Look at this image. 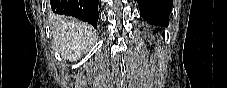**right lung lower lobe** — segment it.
<instances>
[{"label":"right lung lower lobe","mask_w":227,"mask_h":88,"mask_svg":"<svg viewBox=\"0 0 227 88\" xmlns=\"http://www.w3.org/2000/svg\"><path fill=\"white\" fill-rule=\"evenodd\" d=\"M99 0H50L56 14L74 16L97 28Z\"/></svg>","instance_id":"1"}]
</instances>
